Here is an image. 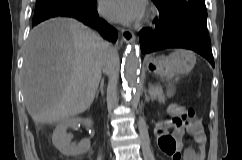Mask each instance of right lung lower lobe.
Masks as SVG:
<instances>
[{
    "label": "right lung lower lobe",
    "mask_w": 242,
    "mask_h": 160,
    "mask_svg": "<svg viewBox=\"0 0 242 160\" xmlns=\"http://www.w3.org/2000/svg\"><path fill=\"white\" fill-rule=\"evenodd\" d=\"M72 17L84 24L97 29L107 40L116 41L117 31L100 19L96 9V0H91L88 5H68V4H53L35 10L32 26L53 17Z\"/></svg>",
    "instance_id": "1"
}]
</instances>
